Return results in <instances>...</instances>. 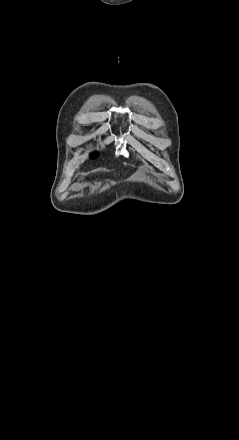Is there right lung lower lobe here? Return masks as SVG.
<instances>
[{"label":"right lung lower lobe","mask_w":239,"mask_h":440,"mask_svg":"<svg viewBox=\"0 0 239 440\" xmlns=\"http://www.w3.org/2000/svg\"><path fill=\"white\" fill-rule=\"evenodd\" d=\"M92 156H93V157H96V156H97V154H96V153H93V154H92Z\"/></svg>","instance_id":"right-lung-lower-lobe-1"}]
</instances>
